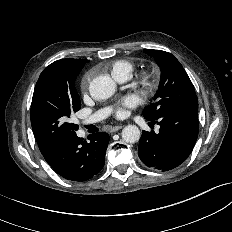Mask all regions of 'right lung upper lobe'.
Returning a JSON list of instances; mask_svg holds the SVG:
<instances>
[{"instance_id": "right-lung-upper-lobe-1", "label": "right lung upper lobe", "mask_w": 232, "mask_h": 232, "mask_svg": "<svg viewBox=\"0 0 232 232\" xmlns=\"http://www.w3.org/2000/svg\"><path fill=\"white\" fill-rule=\"evenodd\" d=\"M74 60H78V59H63V60H58V61H55L53 62V64H57V63H66V62H71V61H74ZM42 153V152H41ZM54 153L55 152H51V153H42L43 157L45 158V160L47 162H49L52 157L54 156Z\"/></svg>"}]
</instances>
